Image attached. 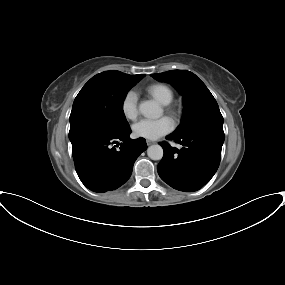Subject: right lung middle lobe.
Segmentation results:
<instances>
[{"mask_svg":"<svg viewBox=\"0 0 285 285\" xmlns=\"http://www.w3.org/2000/svg\"><path fill=\"white\" fill-rule=\"evenodd\" d=\"M136 83L113 80L87 82L73 103L69 139L89 130L117 134L130 128L123 112V101Z\"/></svg>","mask_w":285,"mask_h":285,"instance_id":"obj_1","label":"right lung middle lobe"}]
</instances>
